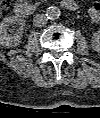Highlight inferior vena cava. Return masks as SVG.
<instances>
[{
    "label": "inferior vena cava",
    "mask_w": 100,
    "mask_h": 118,
    "mask_svg": "<svg viewBox=\"0 0 100 118\" xmlns=\"http://www.w3.org/2000/svg\"><path fill=\"white\" fill-rule=\"evenodd\" d=\"M47 17L45 14H37L34 19H33V22H34V25L36 27H43L47 24Z\"/></svg>",
    "instance_id": "obj_1"
}]
</instances>
